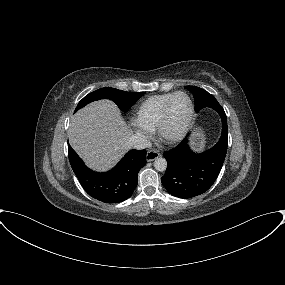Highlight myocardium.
<instances>
[{
  "mask_svg": "<svg viewBox=\"0 0 285 285\" xmlns=\"http://www.w3.org/2000/svg\"><path fill=\"white\" fill-rule=\"evenodd\" d=\"M179 95H184L188 98L189 103H190V113H189V117L186 121V123L184 124V126L176 133L174 134H169L167 132V125H168V121H169V112H170V106L172 101ZM194 117H195V106H194V102L192 100V98L190 97V95L184 91H177L175 93H173V95L167 100V102L165 103L164 107H163V111L159 120V123L157 125V135L159 137V139L165 143V144H176L180 141H182L186 135L188 134L193 121H194Z\"/></svg>",
  "mask_w": 285,
  "mask_h": 285,
  "instance_id": "f54148a6",
  "label": "myocardium"
}]
</instances>
